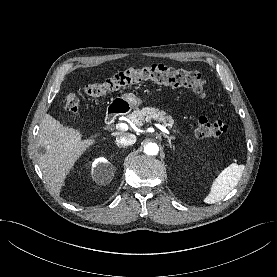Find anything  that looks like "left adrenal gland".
<instances>
[{
    "label": "left adrenal gland",
    "instance_id": "a2214340",
    "mask_svg": "<svg viewBox=\"0 0 277 277\" xmlns=\"http://www.w3.org/2000/svg\"><path fill=\"white\" fill-rule=\"evenodd\" d=\"M163 136L165 137V138H167V140H168V144H169V146H170V148L172 149V143H171V140H172V136H168V135H166V134H163Z\"/></svg>",
    "mask_w": 277,
    "mask_h": 277
}]
</instances>
